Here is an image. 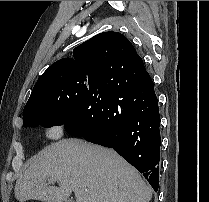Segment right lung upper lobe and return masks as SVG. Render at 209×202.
<instances>
[{
    "label": "right lung upper lobe",
    "instance_id": "obj_1",
    "mask_svg": "<svg viewBox=\"0 0 209 202\" xmlns=\"http://www.w3.org/2000/svg\"><path fill=\"white\" fill-rule=\"evenodd\" d=\"M140 58L130 41L118 32H103L80 44L73 50V58H63L53 63L38 79L24 112L30 109L33 95L52 77L87 74L101 77L112 69L126 71L129 62ZM29 124L24 118L23 126Z\"/></svg>",
    "mask_w": 209,
    "mask_h": 202
}]
</instances>
